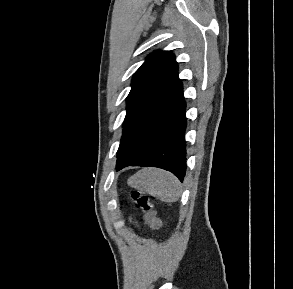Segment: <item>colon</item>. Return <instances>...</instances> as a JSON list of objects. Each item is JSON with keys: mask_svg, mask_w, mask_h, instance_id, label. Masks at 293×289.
<instances>
[{"mask_svg": "<svg viewBox=\"0 0 293 289\" xmlns=\"http://www.w3.org/2000/svg\"><path fill=\"white\" fill-rule=\"evenodd\" d=\"M132 199L134 203L136 204V206L144 212L145 220L150 225L156 228L163 227V223L157 217L153 202L148 195L138 191H134L132 193Z\"/></svg>", "mask_w": 293, "mask_h": 289, "instance_id": "obj_1", "label": "colon"}]
</instances>
